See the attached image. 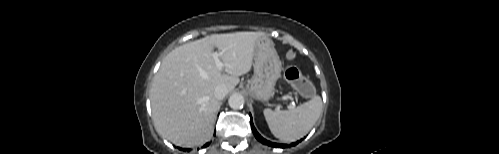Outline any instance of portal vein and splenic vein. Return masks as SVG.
I'll list each match as a JSON object with an SVG mask.
<instances>
[{
  "mask_svg": "<svg viewBox=\"0 0 499 154\" xmlns=\"http://www.w3.org/2000/svg\"><path fill=\"white\" fill-rule=\"evenodd\" d=\"M220 55H221V53H218V52H213V54H212L213 59L215 61V64H216L217 68L219 70H222L223 64H222V62L219 59ZM290 99L293 100L292 98H290Z\"/></svg>",
  "mask_w": 499,
  "mask_h": 154,
  "instance_id": "portal-vein-and-splenic-vein-1",
  "label": "portal vein and splenic vein"
}]
</instances>
